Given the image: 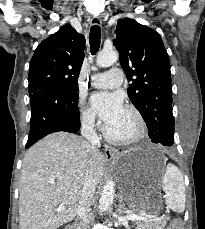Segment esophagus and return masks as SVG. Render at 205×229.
<instances>
[{
    "label": "esophagus",
    "instance_id": "34e87169",
    "mask_svg": "<svg viewBox=\"0 0 205 229\" xmlns=\"http://www.w3.org/2000/svg\"><path fill=\"white\" fill-rule=\"evenodd\" d=\"M91 25L94 26H101V20L99 17H92L91 21H90ZM104 153H105V157L106 159H112L115 157L116 154V149L109 146V145H105L104 147Z\"/></svg>",
    "mask_w": 205,
    "mask_h": 229
}]
</instances>
